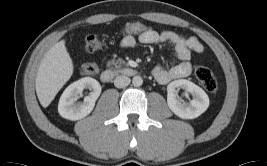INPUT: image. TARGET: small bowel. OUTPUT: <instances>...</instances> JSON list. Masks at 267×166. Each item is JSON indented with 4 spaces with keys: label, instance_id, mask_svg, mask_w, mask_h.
Segmentation results:
<instances>
[{
    "label": "small bowel",
    "instance_id": "small-bowel-1",
    "mask_svg": "<svg viewBox=\"0 0 267 166\" xmlns=\"http://www.w3.org/2000/svg\"><path fill=\"white\" fill-rule=\"evenodd\" d=\"M137 40L142 44L149 45L170 43L174 47V53L179 62L172 67L157 65L153 69V77L160 84H167L171 81L189 76L192 70L190 63L191 54H202L204 52V47L197 38L186 37L172 30L156 31L147 29L141 33L124 34L121 40V46L125 49L132 48L135 46Z\"/></svg>",
    "mask_w": 267,
    "mask_h": 166
}]
</instances>
